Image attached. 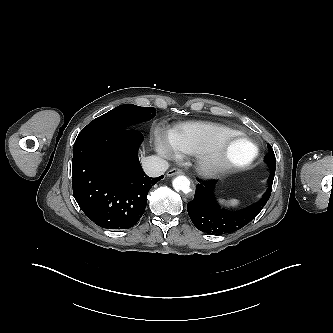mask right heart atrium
<instances>
[{"mask_svg":"<svg viewBox=\"0 0 333 333\" xmlns=\"http://www.w3.org/2000/svg\"><path fill=\"white\" fill-rule=\"evenodd\" d=\"M155 146L158 154L166 159H173L179 151L174 146L170 135L158 130L155 134Z\"/></svg>","mask_w":333,"mask_h":333,"instance_id":"d8ad5b80","label":"right heart atrium"}]
</instances>
